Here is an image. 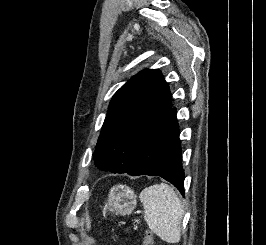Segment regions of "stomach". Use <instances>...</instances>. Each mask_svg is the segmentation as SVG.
Instances as JSON below:
<instances>
[{
  "instance_id": "0dacf381",
  "label": "stomach",
  "mask_w": 266,
  "mask_h": 245,
  "mask_svg": "<svg viewBox=\"0 0 266 245\" xmlns=\"http://www.w3.org/2000/svg\"><path fill=\"white\" fill-rule=\"evenodd\" d=\"M137 205V197L126 185H115L109 191L107 203L103 209L104 215L112 213V215H132Z\"/></svg>"
}]
</instances>
